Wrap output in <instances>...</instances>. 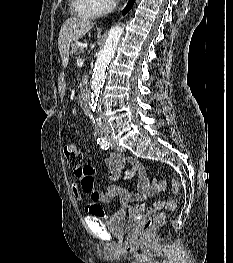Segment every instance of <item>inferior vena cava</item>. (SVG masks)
<instances>
[{
    "instance_id": "inferior-vena-cava-1",
    "label": "inferior vena cava",
    "mask_w": 233,
    "mask_h": 263,
    "mask_svg": "<svg viewBox=\"0 0 233 263\" xmlns=\"http://www.w3.org/2000/svg\"><path fill=\"white\" fill-rule=\"evenodd\" d=\"M101 126H102L104 129H108V128H109V126H108V124H107V122H106L105 119H103V121L101 122Z\"/></svg>"
}]
</instances>
